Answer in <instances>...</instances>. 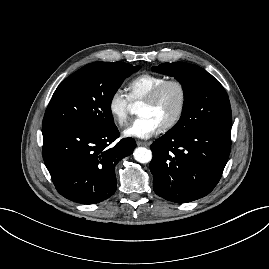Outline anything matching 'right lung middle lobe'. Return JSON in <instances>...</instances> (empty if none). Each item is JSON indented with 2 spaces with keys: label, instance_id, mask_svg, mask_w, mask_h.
Returning <instances> with one entry per match:
<instances>
[{
  "label": "right lung middle lobe",
  "instance_id": "obj_1",
  "mask_svg": "<svg viewBox=\"0 0 269 269\" xmlns=\"http://www.w3.org/2000/svg\"><path fill=\"white\" fill-rule=\"evenodd\" d=\"M139 69L123 62H94L82 67L56 89L42 127L63 123L95 130L114 127L112 98L122 81Z\"/></svg>",
  "mask_w": 269,
  "mask_h": 269
}]
</instances>
